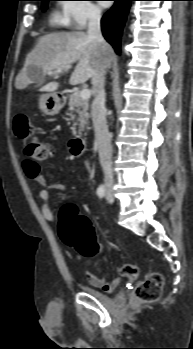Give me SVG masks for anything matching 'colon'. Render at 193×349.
Masks as SVG:
<instances>
[{
  "mask_svg": "<svg viewBox=\"0 0 193 349\" xmlns=\"http://www.w3.org/2000/svg\"><path fill=\"white\" fill-rule=\"evenodd\" d=\"M14 130L22 141L28 157L26 162L40 166V163L52 157V146L34 136V126L26 115H18L15 118ZM59 233L65 244L74 247L82 255L93 256L101 250L88 218L77 215L71 206H65L61 212ZM162 286L163 276L157 272L150 273L137 286L136 297L143 303L156 301L160 297Z\"/></svg>",
  "mask_w": 193,
  "mask_h": 349,
  "instance_id": "obj_1",
  "label": "colon"
}]
</instances>
